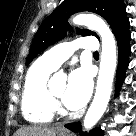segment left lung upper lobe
I'll use <instances>...</instances> for the list:
<instances>
[{
  "label": "left lung upper lobe",
  "mask_w": 136,
  "mask_h": 136,
  "mask_svg": "<svg viewBox=\"0 0 136 136\" xmlns=\"http://www.w3.org/2000/svg\"><path fill=\"white\" fill-rule=\"evenodd\" d=\"M80 11H91L102 16L110 24L113 32L126 18L123 0H65L40 25L33 39L26 65L49 45L64 38L68 29L72 31L67 19L70 15ZM78 32L83 36L94 35L99 38L87 29H78Z\"/></svg>",
  "instance_id": "1"
}]
</instances>
